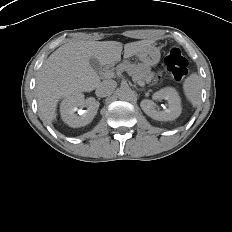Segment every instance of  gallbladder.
Returning <instances> with one entry per match:
<instances>
[{"label": "gallbladder", "instance_id": "obj_1", "mask_svg": "<svg viewBox=\"0 0 232 232\" xmlns=\"http://www.w3.org/2000/svg\"><path fill=\"white\" fill-rule=\"evenodd\" d=\"M89 62H90V65L92 66V68L96 72H98L99 69H100V67H101L100 62L96 58H94V57H91L90 60H89Z\"/></svg>", "mask_w": 232, "mask_h": 232}]
</instances>
